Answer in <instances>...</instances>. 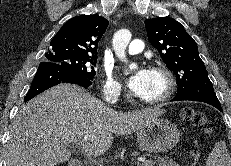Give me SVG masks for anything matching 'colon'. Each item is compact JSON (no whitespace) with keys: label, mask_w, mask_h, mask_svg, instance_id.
<instances>
[{"label":"colon","mask_w":231,"mask_h":166,"mask_svg":"<svg viewBox=\"0 0 231 166\" xmlns=\"http://www.w3.org/2000/svg\"><path fill=\"white\" fill-rule=\"evenodd\" d=\"M181 117L196 126H204L208 121L207 116L203 111L192 107H184L181 110Z\"/></svg>","instance_id":"1"}]
</instances>
